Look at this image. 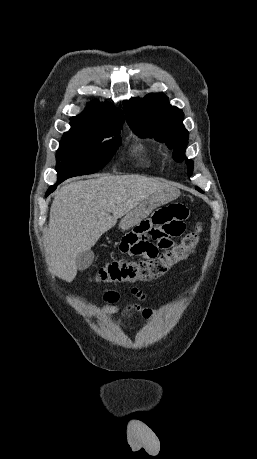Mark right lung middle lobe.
Listing matches in <instances>:
<instances>
[{
  "label": "right lung middle lobe",
  "instance_id": "obj_1",
  "mask_svg": "<svg viewBox=\"0 0 257 459\" xmlns=\"http://www.w3.org/2000/svg\"><path fill=\"white\" fill-rule=\"evenodd\" d=\"M119 134L120 129L98 131L71 124L56 154L58 178L65 180L102 169L121 143Z\"/></svg>",
  "mask_w": 257,
  "mask_h": 459
}]
</instances>
